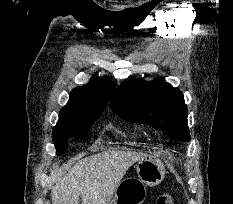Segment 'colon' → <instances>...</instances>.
Instances as JSON below:
<instances>
[{
	"label": "colon",
	"mask_w": 233,
	"mask_h": 204,
	"mask_svg": "<svg viewBox=\"0 0 233 204\" xmlns=\"http://www.w3.org/2000/svg\"><path fill=\"white\" fill-rule=\"evenodd\" d=\"M156 204H172V196L168 192H164L157 198Z\"/></svg>",
	"instance_id": "1"
}]
</instances>
